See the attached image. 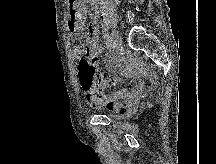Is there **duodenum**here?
I'll list each match as a JSON object with an SVG mask.
<instances>
[{
  "instance_id": "duodenum-1",
  "label": "duodenum",
  "mask_w": 216,
  "mask_h": 164,
  "mask_svg": "<svg viewBox=\"0 0 216 164\" xmlns=\"http://www.w3.org/2000/svg\"><path fill=\"white\" fill-rule=\"evenodd\" d=\"M69 3L71 5V8L73 6V9L74 8V5H75V0H69ZM91 14L94 18H97L99 16V4L94 1L92 4H91Z\"/></svg>"
}]
</instances>
